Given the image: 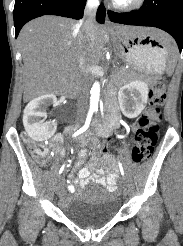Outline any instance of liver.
<instances>
[{
	"mask_svg": "<svg viewBox=\"0 0 183 246\" xmlns=\"http://www.w3.org/2000/svg\"><path fill=\"white\" fill-rule=\"evenodd\" d=\"M122 33L140 30L152 33L169 44L171 38L153 28L122 26ZM24 63V100L46 94H62L73 89L81 78L80 56L86 64H96L107 42L103 27L95 25L90 38H82L73 19L47 15L27 23L18 37Z\"/></svg>",
	"mask_w": 183,
	"mask_h": 246,
	"instance_id": "1",
	"label": "liver"
}]
</instances>
